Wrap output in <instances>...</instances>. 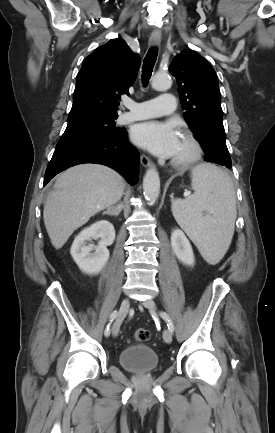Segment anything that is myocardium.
Segmentation results:
<instances>
[{
    "label": "myocardium",
    "instance_id": "f54148a6",
    "mask_svg": "<svg viewBox=\"0 0 275 433\" xmlns=\"http://www.w3.org/2000/svg\"><path fill=\"white\" fill-rule=\"evenodd\" d=\"M182 137L190 147L189 154L184 158H173L171 165L177 169H188L199 161L202 155V146L197 137L190 131H184Z\"/></svg>",
    "mask_w": 275,
    "mask_h": 433
}]
</instances>
